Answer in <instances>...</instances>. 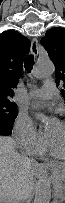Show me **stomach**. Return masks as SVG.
Masks as SVG:
<instances>
[{"label":"stomach","instance_id":"1","mask_svg":"<svg viewBox=\"0 0 65 203\" xmlns=\"http://www.w3.org/2000/svg\"><path fill=\"white\" fill-rule=\"evenodd\" d=\"M51 172L54 180V191L60 199L59 203H65V166L53 165Z\"/></svg>","mask_w":65,"mask_h":203}]
</instances>
